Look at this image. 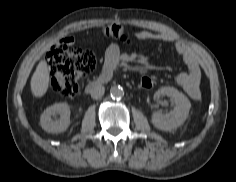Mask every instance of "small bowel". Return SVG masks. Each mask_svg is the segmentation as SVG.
Listing matches in <instances>:
<instances>
[{
	"instance_id": "c3829d8e",
	"label": "small bowel",
	"mask_w": 236,
	"mask_h": 182,
	"mask_svg": "<svg viewBox=\"0 0 236 182\" xmlns=\"http://www.w3.org/2000/svg\"><path fill=\"white\" fill-rule=\"evenodd\" d=\"M113 29L125 35L123 29L118 25H113ZM137 38L141 41L159 40L173 43L174 49L181 56L187 66V71L178 74L175 77V82L185 91V93L193 100L201 98L200 82L201 68L196 54L186 46L182 41L176 39L170 33H153L148 31H140L137 33ZM65 40L71 44L73 39L66 37Z\"/></svg>"
}]
</instances>
